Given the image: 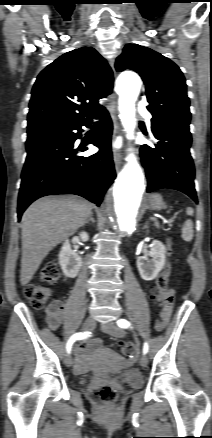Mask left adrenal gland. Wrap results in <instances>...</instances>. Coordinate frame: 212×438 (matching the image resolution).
<instances>
[{
  "label": "left adrenal gland",
  "mask_w": 212,
  "mask_h": 438,
  "mask_svg": "<svg viewBox=\"0 0 212 438\" xmlns=\"http://www.w3.org/2000/svg\"><path fill=\"white\" fill-rule=\"evenodd\" d=\"M143 228H144V229H148V222L145 223V225H144Z\"/></svg>",
  "instance_id": "1"
}]
</instances>
